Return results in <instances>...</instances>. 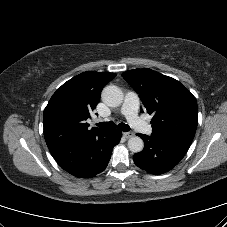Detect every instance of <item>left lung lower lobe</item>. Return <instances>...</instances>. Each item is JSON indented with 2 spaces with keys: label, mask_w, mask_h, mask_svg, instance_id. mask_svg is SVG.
Returning <instances> with one entry per match:
<instances>
[{
  "label": "left lung lower lobe",
  "mask_w": 227,
  "mask_h": 227,
  "mask_svg": "<svg viewBox=\"0 0 227 227\" xmlns=\"http://www.w3.org/2000/svg\"><path fill=\"white\" fill-rule=\"evenodd\" d=\"M144 140V149L133 157L134 163L152 174H163L176 166L187 153L191 143L177 138L152 134H137Z\"/></svg>",
  "instance_id": "left-lung-lower-lobe-1"
}]
</instances>
